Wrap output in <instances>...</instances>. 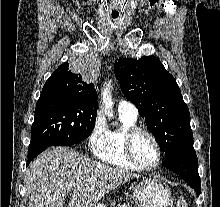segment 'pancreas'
<instances>
[{"label":"pancreas","mask_w":220,"mask_h":207,"mask_svg":"<svg viewBox=\"0 0 220 207\" xmlns=\"http://www.w3.org/2000/svg\"><path fill=\"white\" fill-rule=\"evenodd\" d=\"M112 205L114 206L115 202H112ZM118 207H130V206H127L126 204H123V205L119 204Z\"/></svg>","instance_id":"cf45deb5"}]
</instances>
